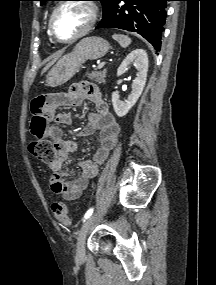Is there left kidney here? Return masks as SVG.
<instances>
[{
  "mask_svg": "<svg viewBox=\"0 0 216 285\" xmlns=\"http://www.w3.org/2000/svg\"><path fill=\"white\" fill-rule=\"evenodd\" d=\"M132 63L137 66L138 73L137 77L133 80L131 94L125 101H121L118 92L112 93L113 108L118 117H123L129 112L139 99L145 87L148 71V56L143 49H135L127 55L117 70V76L124 74Z\"/></svg>",
  "mask_w": 216,
  "mask_h": 285,
  "instance_id": "1",
  "label": "left kidney"
}]
</instances>
